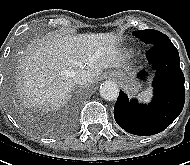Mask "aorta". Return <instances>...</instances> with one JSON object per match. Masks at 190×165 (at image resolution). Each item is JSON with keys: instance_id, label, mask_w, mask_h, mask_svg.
<instances>
[{"instance_id": "obj_1", "label": "aorta", "mask_w": 190, "mask_h": 165, "mask_svg": "<svg viewBox=\"0 0 190 165\" xmlns=\"http://www.w3.org/2000/svg\"><path fill=\"white\" fill-rule=\"evenodd\" d=\"M100 95L107 101H114L118 98L119 88L113 81H105L100 86Z\"/></svg>"}]
</instances>
